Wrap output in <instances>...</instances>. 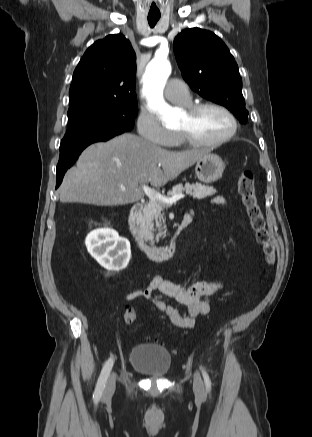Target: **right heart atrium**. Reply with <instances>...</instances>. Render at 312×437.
I'll return each mask as SVG.
<instances>
[{"label":"right heart atrium","instance_id":"obj_1","mask_svg":"<svg viewBox=\"0 0 312 437\" xmlns=\"http://www.w3.org/2000/svg\"><path fill=\"white\" fill-rule=\"evenodd\" d=\"M137 130L142 138L150 143L169 146L173 144L176 134L168 130L152 112L142 110L137 119Z\"/></svg>","mask_w":312,"mask_h":437}]
</instances>
